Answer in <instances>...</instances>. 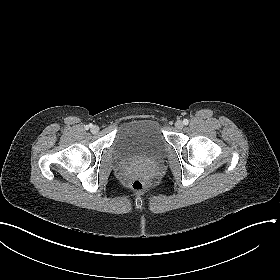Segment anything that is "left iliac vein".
I'll use <instances>...</instances> for the list:
<instances>
[{
  "label": "left iliac vein",
  "instance_id": "1",
  "mask_svg": "<svg viewBox=\"0 0 280 280\" xmlns=\"http://www.w3.org/2000/svg\"><path fill=\"white\" fill-rule=\"evenodd\" d=\"M183 126H184V125H183V122H182V121L178 120V121L175 122V127H176L177 129H182Z\"/></svg>",
  "mask_w": 280,
  "mask_h": 280
}]
</instances>
